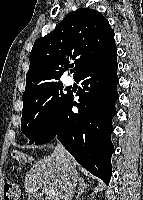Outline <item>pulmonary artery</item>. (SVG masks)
I'll return each instance as SVG.
<instances>
[{"instance_id":"pulmonary-artery-1","label":"pulmonary artery","mask_w":143,"mask_h":200,"mask_svg":"<svg viewBox=\"0 0 143 200\" xmlns=\"http://www.w3.org/2000/svg\"><path fill=\"white\" fill-rule=\"evenodd\" d=\"M65 82H66L67 85H71V84L73 83V81H72L71 78H67V79L65 80Z\"/></svg>"}]
</instances>
